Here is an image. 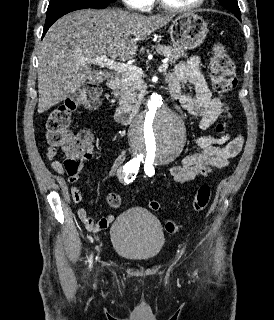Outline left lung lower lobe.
<instances>
[{
	"label": "left lung lower lobe",
	"mask_w": 274,
	"mask_h": 320,
	"mask_svg": "<svg viewBox=\"0 0 274 320\" xmlns=\"http://www.w3.org/2000/svg\"><path fill=\"white\" fill-rule=\"evenodd\" d=\"M235 16H236L239 20H241V13L235 14Z\"/></svg>",
	"instance_id": "left-lung-lower-lobe-1"
}]
</instances>
